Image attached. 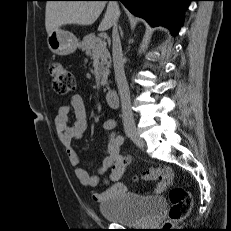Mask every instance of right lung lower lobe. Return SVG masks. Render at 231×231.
Returning <instances> with one entry per match:
<instances>
[{"label":"right lung lower lobe","mask_w":231,"mask_h":231,"mask_svg":"<svg viewBox=\"0 0 231 231\" xmlns=\"http://www.w3.org/2000/svg\"><path fill=\"white\" fill-rule=\"evenodd\" d=\"M105 1V0H104ZM134 15L143 17L152 26H167L172 35L178 33L184 9L191 0H116Z\"/></svg>","instance_id":"98d812e1"}]
</instances>
